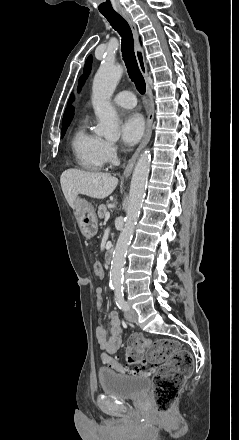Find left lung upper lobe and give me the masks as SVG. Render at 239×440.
Returning <instances> with one entry per match:
<instances>
[{"mask_svg": "<svg viewBox=\"0 0 239 440\" xmlns=\"http://www.w3.org/2000/svg\"><path fill=\"white\" fill-rule=\"evenodd\" d=\"M91 63H92V56L90 55L86 62H85V66H84V71H83V76H81V78L79 79V85H78V90L81 89L85 79L87 78V76L90 73L91 70Z\"/></svg>", "mask_w": 239, "mask_h": 440, "instance_id": "5c2ea615", "label": "left lung upper lobe"}]
</instances>
